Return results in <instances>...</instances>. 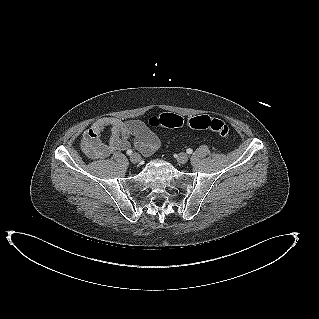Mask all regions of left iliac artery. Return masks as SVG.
Instances as JSON below:
<instances>
[{
	"label": "left iliac artery",
	"instance_id": "1",
	"mask_svg": "<svg viewBox=\"0 0 319 319\" xmlns=\"http://www.w3.org/2000/svg\"><path fill=\"white\" fill-rule=\"evenodd\" d=\"M186 152H187L188 154H192L193 150H192L191 148H188V149L186 150Z\"/></svg>",
	"mask_w": 319,
	"mask_h": 319
}]
</instances>
